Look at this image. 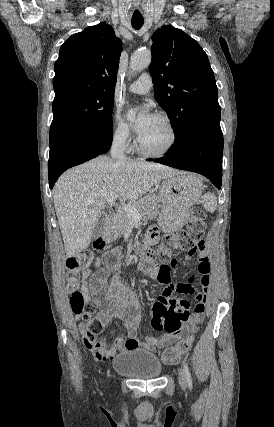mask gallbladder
<instances>
[{
  "label": "gallbladder",
  "mask_w": 274,
  "mask_h": 427,
  "mask_svg": "<svg viewBox=\"0 0 274 427\" xmlns=\"http://www.w3.org/2000/svg\"><path fill=\"white\" fill-rule=\"evenodd\" d=\"M104 219H105V217H100L99 223H97V225H95L94 231H93V237H99V235H102Z\"/></svg>",
  "instance_id": "gallbladder-1"
}]
</instances>
